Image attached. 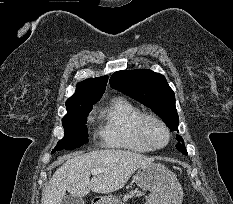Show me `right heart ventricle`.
I'll return each instance as SVG.
<instances>
[{
	"label": "right heart ventricle",
	"mask_w": 233,
	"mask_h": 204,
	"mask_svg": "<svg viewBox=\"0 0 233 204\" xmlns=\"http://www.w3.org/2000/svg\"><path fill=\"white\" fill-rule=\"evenodd\" d=\"M144 113L140 108L122 97L112 99L98 111V137L107 148L125 149L133 152H150L137 133L136 123Z\"/></svg>",
	"instance_id": "e07e8e85"
}]
</instances>
